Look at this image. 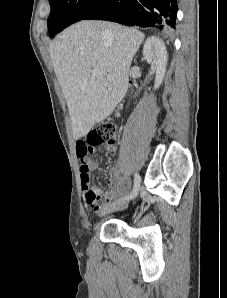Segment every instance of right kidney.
<instances>
[{
  "label": "right kidney",
  "mask_w": 227,
  "mask_h": 298,
  "mask_svg": "<svg viewBox=\"0 0 227 298\" xmlns=\"http://www.w3.org/2000/svg\"><path fill=\"white\" fill-rule=\"evenodd\" d=\"M143 56L156 68L154 88L157 89L164 79L168 60L164 42L158 37H149L143 47Z\"/></svg>",
  "instance_id": "1"
}]
</instances>
